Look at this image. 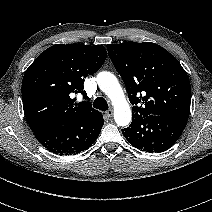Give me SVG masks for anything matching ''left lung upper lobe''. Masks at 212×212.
I'll return each instance as SVG.
<instances>
[{"label":"left lung upper lobe","mask_w":212,"mask_h":212,"mask_svg":"<svg viewBox=\"0 0 212 212\" xmlns=\"http://www.w3.org/2000/svg\"><path fill=\"white\" fill-rule=\"evenodd\" d=\"M133 105V117L166 115L188 119L191 88L178 60L161 46L126 42L107 45Z\"/></svg>","instance_id":"obj_1"}]
</instances>
